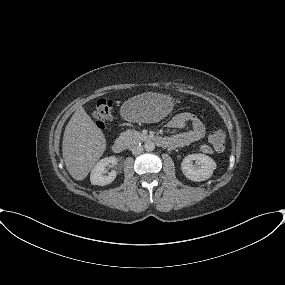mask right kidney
Listing matches in <instances>:
<instances>
[{"mask_svg":"<svg viewBox=\"0 0 285 285\" xmlns=\"http://www.w3.org/2000/svg\"><path fill=\"white\" fill-rule=\"evenodd\" d=\"M117 164L115 156L105 157L101 159L92 169L90 174V181L93 185L105 186L110 184L116 178L117 172L112 170L107 173L106 167H114Z\"/></svg>","mask_w":285,"mask_h":285,"instance_id":"ca27d5eb","label":"right kidney"}]
</instances>
